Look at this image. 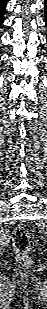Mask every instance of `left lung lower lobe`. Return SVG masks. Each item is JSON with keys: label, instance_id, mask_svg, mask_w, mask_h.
Masks as SVG:
<instances>
[{"label": "left lung lower lobe", "instance_id": "1", "mask_svg": "<svg viewBox=\"0 0 47 309\" xmlns=\"http://www.w3.org/2000/svg\"><path fill=\"white\" fill-rule=\"evenodd\" d=\"M44 6H45V14H46V22H47V0H45Z\"/></svg>", "mask_w": 47, "mask_h": 309}]
</instances>
